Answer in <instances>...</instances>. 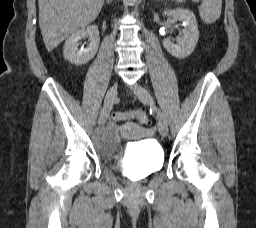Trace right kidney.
<instances>
[{
	"mask_svg": "<svg viewBox=\"0 0 256 228\" xmlns=\"http://www.w3.org/2000/svg\"><path fill=\"white\" fill-rule=\"evenodd\" d=\"M88 36L90 43L87 48L79 50V41ZM100 42L99 30L95 25L82 28L73 33L65 42L63 55L65 60L74 65H83L89 62L97 53Z\"/></svg>",
	"mask_w": 256,
	"mask_h": 228,
	"instance_id": "1",
	"label": "right kidney"
}]
</instances>
